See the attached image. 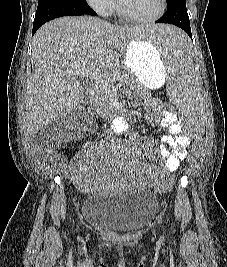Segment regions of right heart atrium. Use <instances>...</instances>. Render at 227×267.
Listing matches in <instances>:
<instances>
[{
  "label": "right heart atrium",
  "mask_w": 227,
  "mask_h": 267,
  "mask_svg": "<svg viewBox=\"0 0 227 267\" xmlns=\"http://www.w3.org/2000/svg\"><path fill=\"white\" fill-rule=\"evenodd\" d=\"M86 2L91 8L103 16L110 15L116 6V0H86Z\"/></svg>",
  "instance_id": "d8ad5b80"
}]
</instances>
